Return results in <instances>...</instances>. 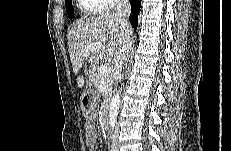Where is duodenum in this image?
<instances>
[{
  "label": "duodenum",
  "mask_w": 231,
  "mask_h": 151,
  "mask_svg": "<svg viewBox=\"0 0 231 151\" xmlns=\"http://www.w3.org/2000/svg\"><path fill=\"white\" fill-rule=\"evenodd\" d=\"M108 117H109V100L106 99L103 105L102 115H101V123L105 128L108 125Z\"/></svg>",
  "instance_id": "obj_1"
}]
</instances>
